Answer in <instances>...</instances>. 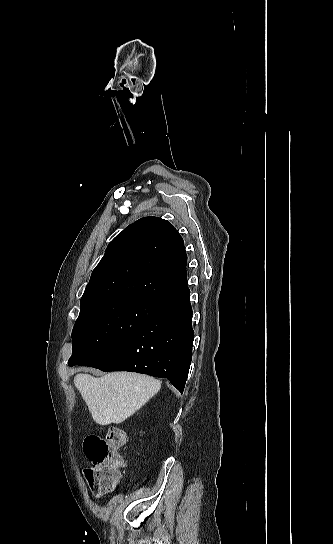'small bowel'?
Instances as JSON below:
<instances>
[{"label": "small bowel", "mask_w": 333, "mask_h": 544, "mask_svg": "<svg viewBox=\"0 0 333 544\" xmlns=\"http://www.w3.org/2000/svg\"><path fill=\"white\" fill-rule=\"evenodd\" d=\"M106 491H108V490H99V491L96 493V497H97V498H102L103 495L106 493Z\"/></svg>", "instance_id": "1"}]
</instances>
